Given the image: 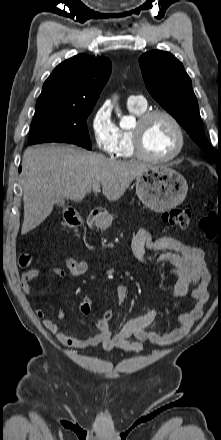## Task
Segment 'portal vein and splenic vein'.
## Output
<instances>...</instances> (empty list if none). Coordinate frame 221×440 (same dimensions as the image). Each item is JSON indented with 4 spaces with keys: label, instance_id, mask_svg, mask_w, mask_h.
<instances>
[{
    "label": "portal vein and splenic vein",
    "instance_id": "portal-vein-and-splenic-vein-1",
    "mask_svg": "<svg viewBox=\"0 0 221 440\" xmlns=\"http://www.w3.org/2000/svg\"><path fill=\"white\" fill-rule=\"evenodd\" d=\"M93 191L96 192V193L99 192L100 191V187L99 186L93 187Z\"/></svg>",
    "mask_w": 221,
    "mask_h": 440
}]
</instances>
